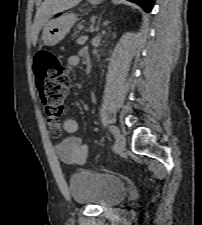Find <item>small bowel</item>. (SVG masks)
<instances>
[{
    "label": "small bowel",
    "instance_id": "small-bowel-1",
    "mask_svg": "<svg viewBox=\"0 0 202 225\" xmlns=\"http://www.w3.org/2000/svg\"><path fill=\"white\" fill-rule=\"evenodd\" d=\"M84 52L88 50L84 48L78 54L69 56L66 60L67 67L72 69L79 66ZM62 127L67 136L58 145L57 156L66 165L80 167L86 162L88 148L83 139L77 135L79 123L75 118H66L63 120Z\"/></svg>",
    "mask_w": 202,
    "mask_h": 225
}]
</instances>
